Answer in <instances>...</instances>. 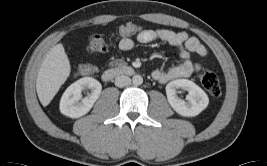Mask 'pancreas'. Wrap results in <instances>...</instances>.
<instances>
[{
  "label": "pancreas",
  "instance_id": "pancreas-1",
  "mask_svg": "<svg viewBox=\"0 0 267 166\" xmlns=\"http://www.w3.org/2000/svg\"><path fill=\"white\" fill-rule=\"evenodd\" d=\"M122 63H123L122 60H117V61L110 62L109 65H110V66L121 65Z\"/></svg>",
  "mask_w": 267,
  "mask_h": 166
}]
</instances>
